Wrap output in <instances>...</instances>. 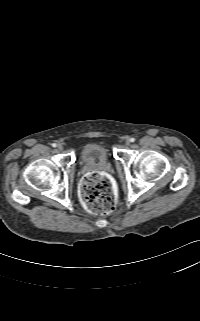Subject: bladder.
<instances>
[{
  "instance_id": "1",
  "label": "bladder",
  "mask_w": 200,
  "mask_h": 321,
  "mask_svg": "<svg viewBox=\"0 0 200 321\" xmlns=\"http://www.w3.org/2000/svg\"><path fill=\"white\" fill-rule=\"evenodd\" d=\"M110 157V149L104 142H90L80 152V160L83 163L104 162Z\"/></svg>"
}]
</instances>
